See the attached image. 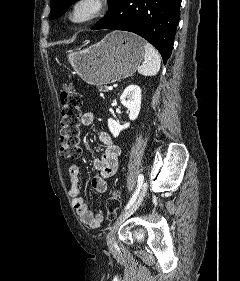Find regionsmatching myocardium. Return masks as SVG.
I'll return each mask as SVG.
<instances>
[{
  "mask_svg": "<svg viewBox=\"0 0 240 281\" xmlns=\"http://www.w3.org/2000/svg\"><path fill=\"white\" fill-rule=\"evenodd\" d=\"M105 8L106 0H75L69 6L65 18L71 25H83L99 18Z\"/></svg>",
  "mask_w": 240,
  "mask_h": 281,
  "instance_id": "myocardium-1",
  "label": "myocardium"
}]
</instances>
